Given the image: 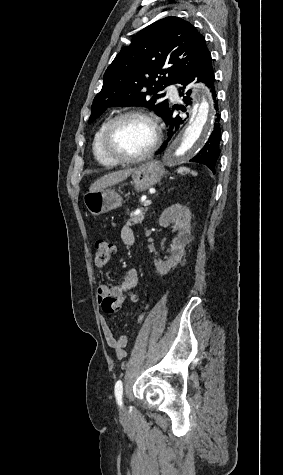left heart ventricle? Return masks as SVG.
<instances>
[{
	"mask_svg": "<svg viewBox=\"0 0 283 475\" xmlns=\"http://www.w3.org/2000/svg\"><path fill=\"white\" fill-rule=\"evenodd\" d=\"M153 140L154 129L148 120L125 118L114 128L108 152L113 157H138L151 147Z\"/></svg>",
	"mask_w": 283,
	"mask_h": 475,
	"instance_id": "1",
	"label": "left heart ventricle"
}]
</instances>
